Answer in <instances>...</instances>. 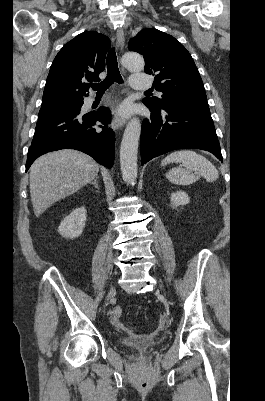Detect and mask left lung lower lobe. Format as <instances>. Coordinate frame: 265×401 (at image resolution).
<instances>
[{"label": "left lung lower lobe", "instance_id": "1", "mask_svg": "<svg viewBox=\"0 0 265 401\" xmlns=\"http://www.w3.org/2000/svg\"><path fill=\"white\" fill-rule=\"evenodd\" d=\"M146 106L151 110V118L142 123V165L154 157L183 148L207 150L223 160L207 102L183 101L160 109Z\"/></svg>", "mask_w": 265, "mask_h": 401}]
</instances>
